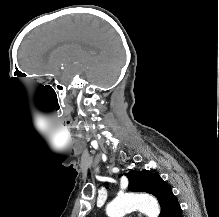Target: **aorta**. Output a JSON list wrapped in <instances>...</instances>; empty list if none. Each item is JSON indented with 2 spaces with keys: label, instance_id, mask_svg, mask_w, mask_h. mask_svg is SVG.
<instances>
[{
  "label": "aorta",
  "instance_id": "1",
  "mask_svg": "<svg viewBox=\"0 0 219 217\" xmlns=\"http://www.w3.org/2000/svg\"><path fill=\"white\" fill-rule=\"evenodd\" d=\"M139 210L148 217H158L160 207L158 202L147 195H125L115 198L106 207L108 217H123L127 212Z\"/></svg>",
  "mask_w": 219,
  "mask_h": 217
}]
</instances>
